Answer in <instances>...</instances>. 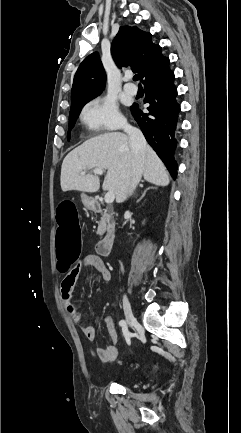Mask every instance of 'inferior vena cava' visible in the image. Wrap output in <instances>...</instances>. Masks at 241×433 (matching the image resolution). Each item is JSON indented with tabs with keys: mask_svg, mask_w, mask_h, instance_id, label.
<instances>
[{
	"mask_svg": "<svg viewBox=\"0 0 241 433\" xmlns=\"http://www.w3.org/2000/svg\"><path fill=\"white\" fill-rule=\"evenodd\" d=\"M124 131L128 134L133 156L131 182L129 188V193H131L136 188L142 177L146 141L142 132L131 125H125Z\"/></svg>",
	"mask_w": 241,
	"mask_h": 433,
	"instance_id": "602c4592",
	"label": "inferior vena cava"
}]
</instances>
